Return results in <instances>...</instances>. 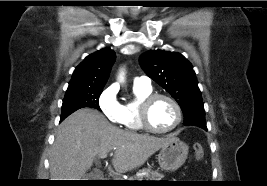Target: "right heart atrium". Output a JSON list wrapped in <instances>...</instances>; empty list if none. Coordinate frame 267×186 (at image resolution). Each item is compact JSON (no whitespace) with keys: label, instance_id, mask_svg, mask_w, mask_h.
I'll use <instances>...</instances> for the list:
<instances>
[{"label":"right heart atrium","instance_id":"d8ad5b80","mask_svg":"<svg viewBox=\"0 0 267 186\" xmlns=\"http://www.w3.org/2000/svg\"><path fill=\"white\" fill-rule=\"evenodd\" d=\"M98 105L104 116L111 122H118L120 117V104L116 97V89H104L98 98Z\"/></svg>","mask_w":267,"mask_h":186}]
</instances>
